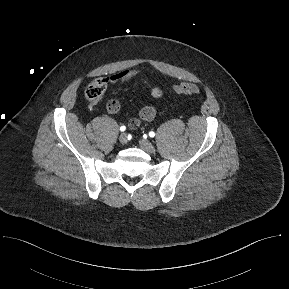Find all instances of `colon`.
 <instances>
[{
  "label": "colon",
  "mask_w": 289,
  "mask_h": 289,
  "mask_svg": "<svg viewBox=\"0 0 289 289\" xmlns=\"http://www.w3.org/2000/svg\"><path fill=\"white\" fill-rule=\"evenodd\" d=\"M107 79L98 78L92 81L85 90L86 98L92 103H99L105 95L106 87H107ZM176 93L180 95H197L200 92V88L198 85L193 83H182L175 87ZM107 106L110 109H115V105L108 102Z\"/></svg>",
  "instance_id": "obj_1"
}]
</instances>
